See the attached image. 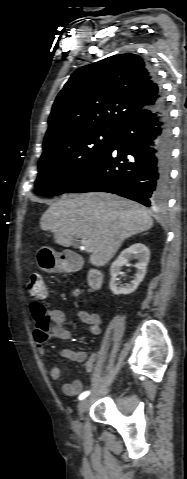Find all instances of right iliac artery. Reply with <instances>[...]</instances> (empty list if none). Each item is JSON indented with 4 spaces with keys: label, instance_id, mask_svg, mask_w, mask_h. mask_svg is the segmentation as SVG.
I'll list each match as a JSON object with an SVG mask.
<instances>
[{
    "label": "right iliac artery",
    "instance_id": "obj_1",
    "mask_svg": "<svg viewBox=\"0 0 187 479\" xmlns=\"http://www.w3.org/2000/svg\"><path fill=\"white\" fill-rule=\"evenodd\" d=\"M90 394V391H85L83 393L80 394V396L78 397L79 400H83L85 399L88 395Z\"/></svg>",
    "mask_w": 187,
    "mask_h": 479
}]
</instances>
